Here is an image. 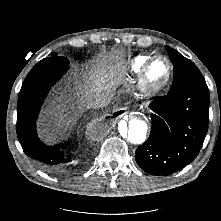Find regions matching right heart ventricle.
<instances>
[{"label": "right heart ventricle", "mask_w": 221, "mask_h": 221, "mask_svg": "<svg viewBox=\"0 0 221 221\" xmlns=\"http://www.w3.org/2000/svg\"><path fill=\"white\" fill-rule=\"evenodd\" d=\"M151 58L150 54H139L130 61V69L133 73H140L145 63Z\"/></svg>", "instance_id": "obj_1"}]
</instances>
